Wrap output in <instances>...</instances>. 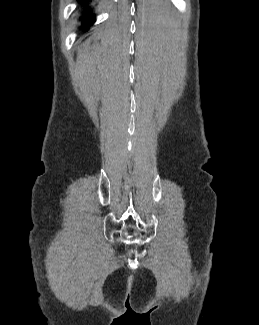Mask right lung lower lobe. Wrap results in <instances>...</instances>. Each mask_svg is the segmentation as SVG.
I'll list each match as a JSON object with an SVG mask.
<instances>
[{"instance_id":"obj_1","label":"right lung lower lobe","mask_w":259,"mask_h":325,"mask_svg":"<svg viewBox=\"0 0 259 325\" xmlns=\"http://www.w3.org/2000/svg\"><path fill=\"white\" fill-rule=\"evenodd\" d=\"M80 4V28L83 32H87L93 25L95 19L93 15L94 0H77Z\"/></svg>"}]
</instances>
